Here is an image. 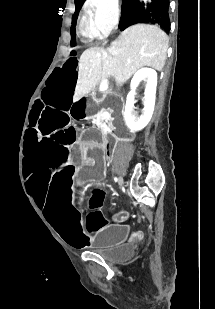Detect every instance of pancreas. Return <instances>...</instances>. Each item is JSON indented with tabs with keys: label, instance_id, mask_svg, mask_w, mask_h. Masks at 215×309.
I'll return each mask as SVG.
<instances>
[{
	"label": "pancreas",
	"instance_id": "1",
	"mask_svg": "<svg viewBox=\"0 0 215 309\" xmlns=\"http://www.w3.org/2000/svg\"><path fill=\"white\" fill-rule=\"evenodd\" d=\"M92 96H94V94H92ZM100 114H103V112H100Z\"/></svg>",
	"mask_w": 215,
	"mask_h": 309
}]
</instances>
